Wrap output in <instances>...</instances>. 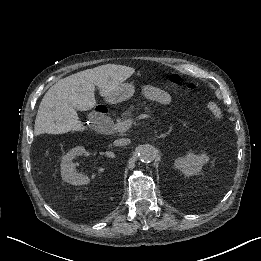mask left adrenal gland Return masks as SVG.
Returning <instances> with one entry per match:
<instances>
[{
    "label": "left adrenal gland",
    "mask_w": 261,
    "mask_h": 261,
    "mask_svg": "<svg viewBox=\"0 0 261 261\" xmlns=\"http://www.w3.org/2000/svg\"><path fill=\"white\" fill-rule=\"evenodd\" d=\"M168 135H170L169 133L168 134H160L158 137L159 138H166Z\"/></svg>",
    "instance_id": "a2214340"
}]
</instances>
